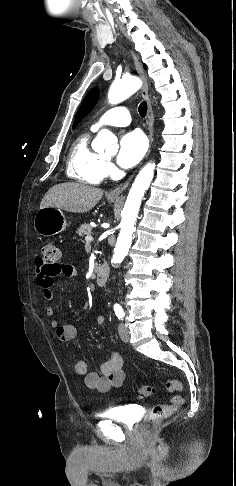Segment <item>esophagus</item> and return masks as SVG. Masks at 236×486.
Returning a JSON list of instances; mask_svg holds the SVG:
<instances>
[{
	"label": "esophagus",
	"mask_w": 236,
	"mask_h": 486,
	"mask_svg": "<svg viewBox=\"0 0 236 486\" xmlns=\"http://www.w3.org/2000/svg\"><path fill=\"white\" fill-rule=\"evenodd\" d=\"M131 55H132V58H133V61H134L136 71L138 72V74L140 75V77L143 81V85H142V88H141V94H142L143 98L146 100L147 107H148V110H147V126H148V131H149V135H148L149 136V142H150V146H151V144L153 142V131H154V128H153V126H154V115H153L152 103H151V100H150V97H149L148 85H147V82H146V79H145V76H144V72H143V68L140 64V61H139L137 55L133 51H131ZM132 177L133 176H131L128 180H126L124 183H122L117 188L111 190L108 193V196L112 197V198L119 197L124 192V190L128 187V185L130 184Z\"/></svg>",
	"instance_id": "obj_1"
}]
</instances>
